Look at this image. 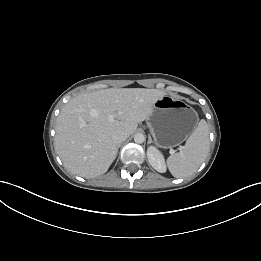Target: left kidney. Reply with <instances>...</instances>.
Here are the masks:
<instances>
[{
  "label": "left kidney",
  "mask_w": 261,
  "mask_h": 261,
  "mask_svg": "<svg viewBox=\"0 0 261 261\" xmlns=\"http://www.w3.org/2000/svg\"><path fill=\"white\" fill-rule=\"evenodd\" d=\"M147 158L151 166L160 173L166 172L163 155L153 146L147 149Z\"/></svg>",
  "instance_id": "1"
}]
</instances>
